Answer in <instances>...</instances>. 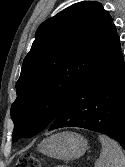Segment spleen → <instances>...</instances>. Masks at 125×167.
Listing matches in <instances>:
<instances>
[{
	"label": "spleen",
	"mask_w": 125,
	"mask_h": 167,
	"mask_svg": "<svg viewBox=\"0 0 125 167\" xmlns=\"http://www.w3.org/2000/svg\"><path fill=\"white\" fill-rule=\"evenodd\" d=\"M99 140L102 150L95 167H125V154L118 143L104 135H100Z\"/></svg>",
	"instance_id": "3e777b00"
}]
</instances>
